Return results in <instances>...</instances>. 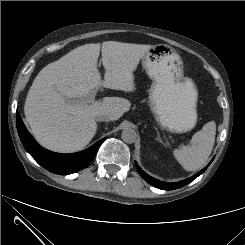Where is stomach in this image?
Returning a JSON list of instances; mask_svg holds the SVG:
<instances>
[{"label":"stomach","instance_id":"stomach-1","mask_svg":"<svg viewBox=\"0 0 245 245\" xmlns=\"http://www.w3.org/2000/svg\"><path fill=\"white\" fill-rule=\"evenodd\" d=\"M141 60L153 81L149 102L160 125L175 133L193 129L197 123L198 93L193 81L183 76L178 52L167 44H157Z\"/></svg>","mask_w":245,"mask_h":245}]
</instances>
